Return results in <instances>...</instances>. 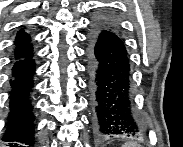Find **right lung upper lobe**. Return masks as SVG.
Segmentation results:
<instances>
[{
	"label": "right lung upper lobe",
	"instance_id": "right-lung-upper-lobe-1",
	"mask_svg": "<svg viewBox=\"0 0 183 147\" xmlns=\"http://www.w3.org/2000/svg\"><path fill=\"white\" fill-rule=\"evenodd\" d=\"M15 45H16L14 52L15 59H21L32 54L33 48L30 44L29 35L26 34L23 30H20V32L18 33Z\"/></svg>",
	"mask_w": 183,
	"mask_h": 147
}]
</instances>
